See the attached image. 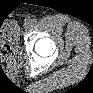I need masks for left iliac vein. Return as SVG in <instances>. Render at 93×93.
<instances>
[{"instance_id":"obj_1","label":"left iliac vein","mask_w":93,"mask_h":93,"mask_svg":"<svg viewBox=\"0 0 93 93\" xmlns=\"http://www.w3.org/2000/svg\"><path fill=\"white\" fill-rule=\"evenodd\" d=\"M31 26H32V22H31V21H26V22L24 23V28H25V29H29Z\"/></svg>"}]
</instances>
